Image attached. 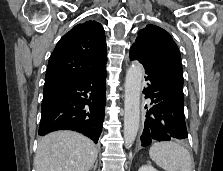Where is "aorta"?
I'll list each match as a JSON object with an SVG mask.
<instances>
[{
  "label": "aorta",
  "instance_id": "aorta-1",
  "mask_svg": "<svg viewBox=\"0 0 223 171\" xmlns=\"http://www.w3.org/2000/svg\"><path fill=\"white\" fill-rule=\"evenodd\" d=\"M144 73L142 64L133 63L126 74L124 99V140L131 145L137 136L140 123V92Z\"/></svg>",
  "mask_w": 223,
  "mask_h": 171
}]
</instances>
